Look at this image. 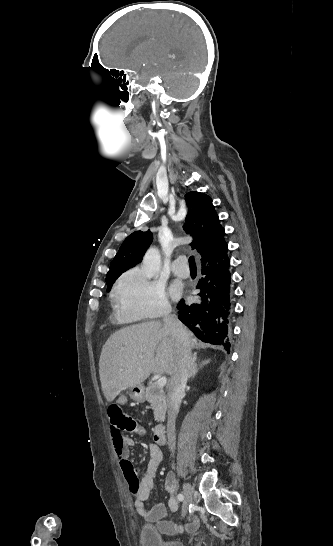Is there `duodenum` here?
<instances>
[{"label":"duodenum","instance_id":"1","mask_svg":"<svg viewBox=\"0 0 333 546\" xmlns=\"http://www.w3.org/2000/svg\"><path fill=\"white\" fill-rule=\"evenodd\" d=\"M154 440L159 445H164L167 442L165 426L159 425L154 430Z\"/></svg>","mask_w":333,"mask_h":546}]
</instances>
